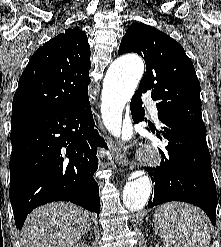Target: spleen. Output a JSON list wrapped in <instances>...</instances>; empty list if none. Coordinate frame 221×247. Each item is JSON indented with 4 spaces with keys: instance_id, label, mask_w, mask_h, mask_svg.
<instances>
[{
    "instance_id": "3e777b00",
    "label": "spleen",
    "mask_w": 221,
    "mask_h": 247,
    "mask_svg": "<svg viewBox=\"0 0 221 247\" xmlns=\"http://www.w3.org/2000/svg\"><path fill=\"white\" fill-rule=\"evenodd\" d=\"M156 233L174 247H209L211 236L200 212L175 202L160 206L154 215Z\"/></svg>"
}]
</instances>
